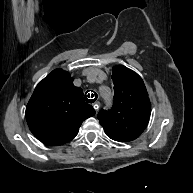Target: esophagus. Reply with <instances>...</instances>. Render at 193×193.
<instances>
[{"instance_id": "1", "label": "esophagus", "mask_w": 193, "mask_h": 193, "mask_svg": "<svg viewBox=\"0 0 193 193\" xmlns=\"http://www.w3.org/2000/svg\"><path fill=\"white\" fill-rule=\"evenodd\" d=\"M90 93V96H91V94H93L94 95V97L93 98H95V93L94 92H89ZM97 94V100L95 101V103H94V105H93V108L96 110V111H98L99 110V108H100V103L98 102V93H96ZM93 98H90V99H93Z\"/></svg>"}]
</instances>
